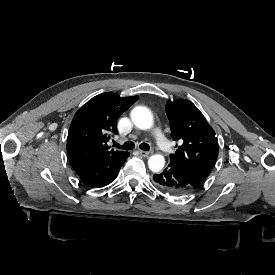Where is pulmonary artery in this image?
Returning a JSON list of instances; mask_svg holds the SVG:
<instances>
[{"label": "pulmonary artery", "instance_id": "obj_1", "mask_svg": "<svg viewBox=\"0 0 275 275\" xmlns=\"http://www.w3.org/2000/svg\"><path fill=\"white\" fill-rule=\"evenodd\" d=\"M151 136L155 141H158V139H160L162 137V132L159 128H155V129L152 130ZM161 141H164V138H161ZM117 142L119 144H122L124 142V140L119 139ZM162 145H163V147H166L165 142H162ZM157 146L159 148V151H161V153H164V150H162V147H161L160 143H157ZM165 155H170V152H165Z\"/></svg>", "mask_w": 275, "mask_h": 275}]
</instances>
